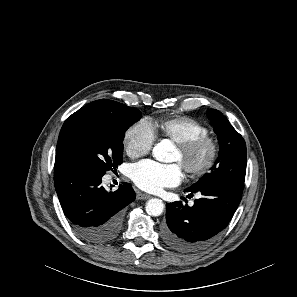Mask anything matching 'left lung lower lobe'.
Instances as JSON below:
<instances>
[{
  "label": "left lung lower lobe",
  "mask_w": 297,
  "mask_h": 297,
  "mask_svg": "<svg viewBox=\"0 0 297 297\" xmlns=\"http://www.w3.org/2000/svg\"><path fill=\"white\" fill-rule=\"evenodd\" d=\"M244 184L215 182L185 191L202 194L189 207L181 201L166 204V223L162 238L171 248L191 252L205 246L230 222L236 211Z\"/></svg>",
  "instance_id": "left-lung-lower-lobe-1"
}]
</instances>
